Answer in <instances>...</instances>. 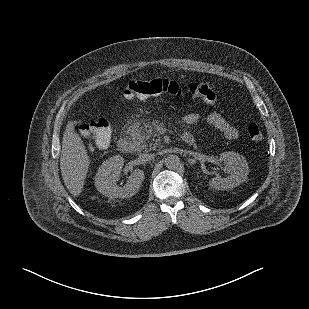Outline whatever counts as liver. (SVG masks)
<instances>
[{
  "label": "liver",
  "instance_id": "6515ba94",
  "mask_svg": "<svg viewBox=\"0 0 309 309\" xmlns=\"http://www.w3.org/2000/svg\"><path fill=\"white\" fill-rule=\"evenodd\" d=\"M76 121H69L62 138L60 169L63 181L75 197L82 190L90 160L79 134L75 131Z\"/></svg>",
  "mask_w": 309,
  "mask_h": 309
}]
</instances>
